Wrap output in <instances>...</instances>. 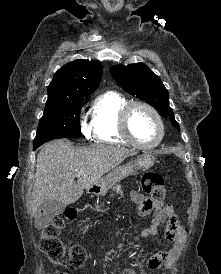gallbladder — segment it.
<instances>
[{"instance_id": "1", "label": "gallbladder", "mask_w": 221, "mask_h": 274, "mask_svg": "<svg viewBox=\"0 0 221 274\" xmlns=\"http://www.w3.org/2000/svg\"><path fill=\"white\" fill-rule=\"evenodd\" d=\"M65 207L64 203L47 200L39 206L35 221L39 223L49 222L54 216L61 214Z\"/></svg>"}]
</instances>
